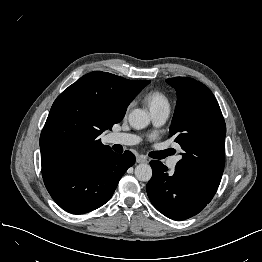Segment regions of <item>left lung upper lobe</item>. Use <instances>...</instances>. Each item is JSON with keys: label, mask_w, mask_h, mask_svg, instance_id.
<instances>
[{"label": "left lung upper lobe", "mask_w": 262, "mask_h": 262, "mask_svg": "<svg viewBox=\"0 0 262 262\" xmlns=\"http://www.w3.org/2000/svg\"><path fill=\"white\" fill-rule=\"evenodd\" d=\"M177 91V105L170 135L182 150L175 173L207 203L219 186L224 164L226 125L213 93L189 78L166 80Z\"/></svg>", "instance_id": "1"}]
</instances>
